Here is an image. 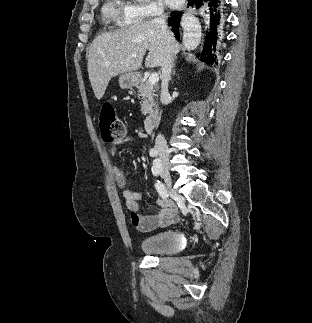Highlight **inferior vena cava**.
<instances>
[{"label": "inferior vena cava", "instance_id": "1", "mask_svg": "<svg viewBox=\"0 0 312 323\" xmlns=\"http://www.w3.org/2000/svg\"><path fill=\"white\" fill-rule=\"evenodd\" d=\"M157 16L158 18H155L153 22L154 24H157V26H159L161 30V34L165 36V40L167 44V52H165L163 62L161 64V72H162L161 102L162 104H165V100L168 96V84L171 78V68L173 64L172 48L175 42V38L172 32H170L166 24V18L165 16H163L162 12H160V14H157ZM155 146L156 148H159V150H163L164 154H167L168 146L162 134H158V136H156Z\"/></svg>", "mask_w": 312, "mask_h": 323}]
</instances>
